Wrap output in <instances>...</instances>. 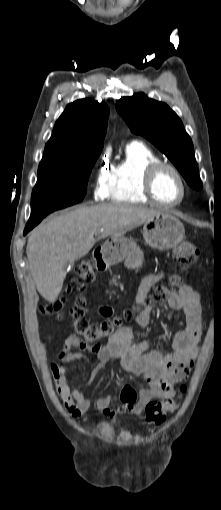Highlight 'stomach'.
I'll return each mask as SVG.
<instances>
[{
  "mask_svg": "<svg viewBox=\"0 0 221 510\" xmlns=\"http://www.w3.org/2000/svg\"><path fill=\"white\" fill-rule=\"evenodd\" d=\"M185 236L183 223L174 215L162 212L143 225L146 243L157 250H169L177 246ZM112 262L124 261L128 269H138L143 264V252L132 239L112 237L104 245Z\"/></svg>",
  "mask_w": 221,
  "mask_h": 510,
  "instance_id": "1",
  "label": "stomach"
}]
</instances>
